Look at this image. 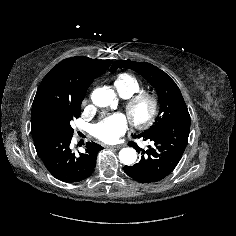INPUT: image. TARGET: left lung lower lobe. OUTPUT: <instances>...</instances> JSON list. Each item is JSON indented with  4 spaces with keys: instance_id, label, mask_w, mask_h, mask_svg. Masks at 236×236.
Returning a JSON list of instances; mask_svg holds the SVG:
<instances>
[{
    "instance_id": "1",
    "label": "left lung lower lobe",
    "mask_w": 236,
    "mask_h": 236,
    "mask_svg": "<svg viewBox=\"0 0 236 236\" xmlns=\"http://www.w3.org/2000/svg\"><path fill=\"white\" fill-rule=\"evenodd\" d=\"M190 132V119L177 120L160 130L141 133L135 138L150 140L153 146L141 149L136 143L129 142L141 154L139 163L124 166V172L141 183H154L167 177L179 163L187 145Z\"/></svg>"
}]
</instances>
